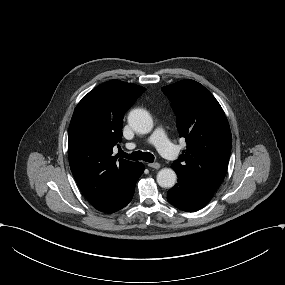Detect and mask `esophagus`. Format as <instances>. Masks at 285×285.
Returning <instances> with one entry per match:
<instances>
[{"label": "esophagus", "mask_w": 285, "mask_h": 285, "mask_svg": "<svg viewBox=\"0 0 285 285\" xmlns=\"http://www.w3.org/2000/svg\"><path fill=\"white\" fill-rule=\"evenodd\" d=\"M148 166L153 168V169H159L161 167V165L157 162L156 163H149Z\"/></svg>", "instance_id": "1"}]
</instances>
